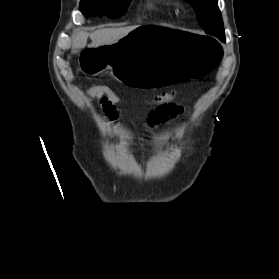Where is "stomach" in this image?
<instances>
[{
	"mask_svg": "<svg viewBox=\"0 0 279 279\" xmlns=\"http://www.w3.org/2000/svg\"><path fill=\"white\" fill-rule=\"evenodd\" d=\"M100 47L106 50H81L80 75H116L134 91H166L181 82H211L221 72L218 63L224 55L215 40L174 25H135L115 44Z\"/></svg>",
	"mask_w": 279,
	"mask_h": 279,
	"instance_id": "obj_1",
	"label": "stomach"
}]
</instances>
